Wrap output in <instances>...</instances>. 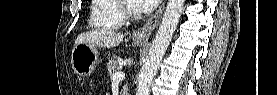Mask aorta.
<instances>
[{"label":"aorta","instance_id":"1","mask_svg":"<svg viewBox=\"0 0 277 95\" xmlns=\"http://www.w3.org/2000/svg\"><path fill=\"white\" fill-rule=\"evenodd\" d=\"M185 0H168L161 24L141 68L136 95H149L154 76L177 28Z\"/></svg>","mask_w":277,"mask_h":95}]
</instances>
